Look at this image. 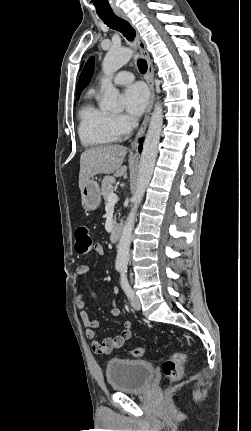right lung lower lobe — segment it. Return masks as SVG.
<instances>
[{
	"label": "right lung lower lobe",
	"instance_id": "right-lung-lower-lobe-1",
	"mask_svg": "<svg viewBox=\"0 0 251 431\" xmlns=\"http://www.w3.org/2000/svg\"><path fill=\"white\" fill-rule=\"evenodd\" d=\"M141 141H143V139H141ZM141 149H142V143L139 146V151H141Z\"/></svg>",
	"mask_w": 251,
	"mask_h": 431
}]
</instances>
